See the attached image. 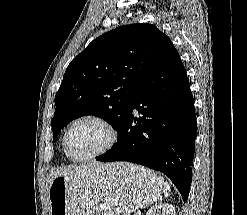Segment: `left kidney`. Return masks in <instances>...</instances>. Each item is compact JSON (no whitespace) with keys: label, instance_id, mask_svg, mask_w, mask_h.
Listing matches in <instances>:
<instances>
[{"label":"left kidney","instance_id":"obj_1","mask_svg":"<svg viewBox=\"0 0 247 215\" xmlns=\"http://www.w3.org/2000/svg\"><path fill=\"white\" fill-rule=\"evenodd\" d=\"M146 215H175V208L172 204H158L151 207Z\"/></svg>","mask_w":247,"mask_h":215}]
</instances>
